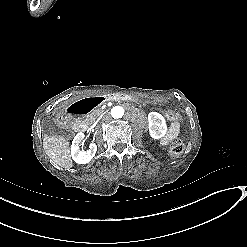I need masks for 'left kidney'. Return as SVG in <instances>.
<instances>
[{
	"label": "left kidney",
	"mask_w": 247,
	"mask_h": 247,
	"mask_svg": "<svg viewBox=\"0 0 247 247\" xmlns=\"http://www.w3.org/2000/svg\"><path fill=\"white\" fill-rule=\"evenodd\" d=\"M149 118L151 121V131H150V135L152 138L154 139H159L163 136H165L166 131H167V126L165 123V119L163 118L162 115H160L159 113L156 112H151L149 114ZM153 124L156 125V127L153 126Z\"/></svg>",
	"instance_id": "left-kidney-1"
}]
</instances>
